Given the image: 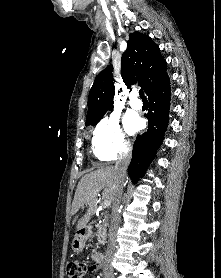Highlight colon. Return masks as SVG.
I'll list each match as a JSON object with an SVG mask.
<instances>
[{
	"label": "colon",
	"instance_id": "5ec220e1",
	"mask_svg": "<svg viewBox=\"0 0 221 278\" xmlns=\"http://www.w3.org/2000/svg\"><path fill=\"white\" fill-rule=\"evenodd\" d=\"M90 270L91 266L79 260L70 261L66 269L68 278H85Z\"/></svg>",
	"mask_w": 221,
	"mask_h": 278
}]
</instances>
